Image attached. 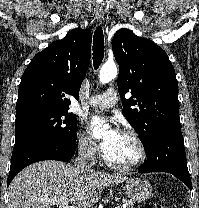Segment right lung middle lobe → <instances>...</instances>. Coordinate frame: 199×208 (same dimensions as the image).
<instances>
[{
  "instance_id": "1",
  "label": "right lung middle lobe",
  "mask_w": 199,
  "mask_h": 208,
  "mask_svg": "<svg viewBox=\"0 0 199 208\" xmlns=\"http://www.w3.org/2000/svg\"><path fill=\"white\" fill-rule=\"evenodd\" d=\"M76 117L68 109L32 107L16 111L17 149L34 142H55L72 147L76 141Z\"/></svg>"
}]
</instances>
